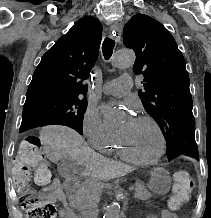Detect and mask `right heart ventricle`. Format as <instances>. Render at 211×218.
I'll return each mask as SVG.
<instances>
[{
	"mask_svg": "<svg viewBox=\"0 0 211 218\" xmlns=\"http://www.w3.org/2000/svg\"><path fill=\"white\" fill-rule=\"evenodd\" d=\"M99 150L107 155H115L118 156L122 159H125L127 161H131L129 159H127L120 151L117 142H116V138L113 139L111 142H109L108 144L104 145L103 147L99 148ZM132 162V161H131Z\"/></svg>",
	"mask_w": 211,
	"mask_h": 218,
	"instance_id": "right-heart-ventricle-1",
	"label": "right heart ventricle"
}]
</instances>
